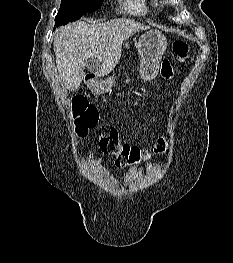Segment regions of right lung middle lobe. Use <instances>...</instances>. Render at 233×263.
Returning <instances> with one entry per match:
<instances>
[{"label":"right lung middle lobe","mask_w":233,"mask_h":263,"mask_svg":"<svg viewBox=\"0 0 233 263\" xmlns=\"http://www.w3.org/2000/svg\"><path fill=\"white\" fill-rule=\"evenodd\" d=\"M104 0H62L55 25H66L100 8Z\"/></svg>","instance_id":"dd1d6c3e"}]
</instances>
